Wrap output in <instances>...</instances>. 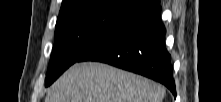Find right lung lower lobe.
Listing matches in <instances>:
<instances>
[{"label":"right lung lower lobe","mask_w":221,"mask_h":102,"mask_svg":"<svg viewBox=\"0 0 221 102\" xmlns=\"http://www.w3.org/2000/svg\"><path fill=\"white\" fill-rule=\"evenodd\" d=\"M158 1L96 44L78 61H99L165 85L176 97L171 55Z\"/></svg>","instance_id":"1"}]
</instances>
